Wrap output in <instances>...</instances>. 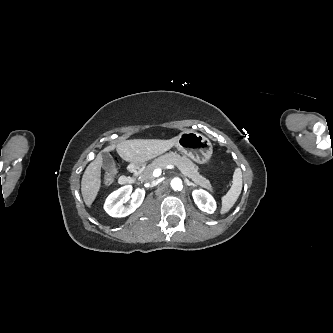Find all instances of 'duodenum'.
Returning <instances> with one entry per match:
<instances>
[{
	"label": "duodenum",
	"instance_id": "1",
	"mask_svg": "<svg viewBox=\"0 0 333 333\" xmlns=\"http://www.w3.org/2000/svg\"><path fill=\"white\" fill-rule=\"evenodd\" d=\"M139 173H140L139 167L132 166L129 174L121 177V184L129 185V184L134 183L136 181Z\"/></svg>",
	"mask_w": 333,
	"mask_h": 333
}]
</instances>
